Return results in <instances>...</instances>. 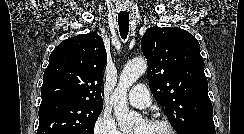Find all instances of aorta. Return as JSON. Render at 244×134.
I'll use <instances>...</instances> for the list:
<instances>
[{
	"instance_id": "762f6f07",
	"label": "aorta",
	"mask_w": 244,
	"mask_h": 134,
	"mask_svg": "<svg viewBox=\"0 0 244 134\" xmlns=\"http://www.w3.org/2000/svg\"><path fill=\"white\" fill-rule=\"evenodd\" d=\"M147 68V63L143 58H135L129 61L124 67L117 87L111 95L114 107V115L120 128H132L141 116L132 112L127 104V92L129 88L143 75Z\"/></svg>"
}]
</instances>
